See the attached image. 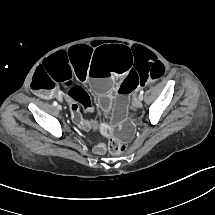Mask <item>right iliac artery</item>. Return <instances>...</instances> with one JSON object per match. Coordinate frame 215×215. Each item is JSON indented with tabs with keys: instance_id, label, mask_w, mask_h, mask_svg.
I'll return each instance as SVG.
<instances>
[{
	"instance_id": "82829eb1",
	"label": "right iliac artery",
	"mask_w": 215,
	"mask_h": 215,
	"mask_svg": "<svg viewBox=\"0 0 215 215\" xmlns=\"http://www.w3.org/2000/svg\"><path fill=\"white\" fill-rule=\"evenodd\" d=\"M53 104H54L55 106H57V105H58V104H57V102H54Z\"/></svg>"
}]
</instances>
